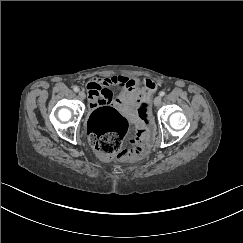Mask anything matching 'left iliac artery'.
<instances>
[{
  "label": "left iliac artery",
  "mask_w": 243,
  "mask_h": 243,
  "mask_svg": "<svg viewBox=\"0 0 243 243\" xmlns=\"http://www.w3.org/2000/svg\"><path fill=\"white\" fill-rule=\"evenodd\" d=\"M165 95V91L160 92V96L163 97Z\"/></svg>",
  "instance_id": "1"
}]
</instances>
